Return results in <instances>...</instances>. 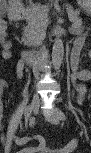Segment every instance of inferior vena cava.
<instances>
[{"mask_svg":"<svg viewBox=\"0 0 91 153\" xmlns=\"http://www.w3.org/2000/svg\"><path fill=\"white\" fill-rule=\"evenodd\" d=\"M42 46V45H40ZM46 47H40V50H38V53H45ZM48 58L46 57V54H32V63L34 68V76L36 79H39V70L43 68V63H48Z\"/></svg>","mask_w":91,"mask_h":153,"instance_id":"1","label":"inferior vena cava"}]
</instances>
